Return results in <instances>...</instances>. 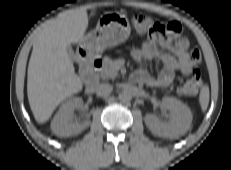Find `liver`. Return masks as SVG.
I'll return each instance as SVG.
<instances>
[{"mask_svg":"<svg viewBox=\"0 0 231 170\" xmlns=\"http://www.w3.org/2000/svg\"><path fill=\"white\" fill-rule=\"evenodd\" d=\"M87 28V11L80 7L59 14L38 33L27 78L28 101L38 123H45L63 100L82 90L67 46L82 41Z\"/></svg>","mask_w":231,"mask_h":170,"instance_id":"obj_1","label":"liver"}]
</instances>
